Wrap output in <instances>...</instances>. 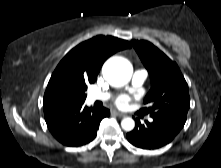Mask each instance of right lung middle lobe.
Here are the masks:
<instances>
[{
	"mask_svg": "<svg viewBox=\"0 0 221 168\" xmlns=\"http://www.w3.org/2000/svg\"><path fill=\"white\" fill-rule=\"evenodd\" d=\"M86 89H87V86L84 83L75 85L71 89L72 95H73V97H74V99L77 103L85 101V98H86L85 91H86Z\"/></svg>",
	"mask_w": 221,
	"mask_h": 168,
	"instance_id": "1",
	"label": "right lung middle lobe"
}]
</instances>
